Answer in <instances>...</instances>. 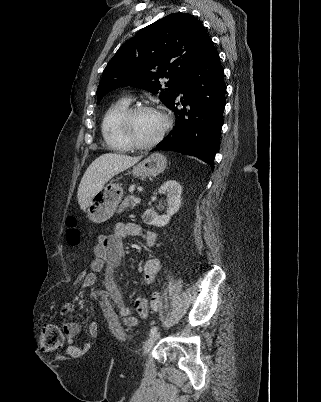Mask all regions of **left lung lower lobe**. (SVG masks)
Wrapping results in <instances>:
<instances>
[{"label":"left lung lower lobe","mask_w":321,"mask_h":402,"mask_svg":"<svg viewBox=\"0 0 321 402\" xmlns=\"http://www.w3.org/2000/svg\"><path fill=\"white\" fill-rule=\"evenodd\" d=\"M219 54L211 38L200 56L179 83L168 108L174 111V129L154 148L196 156L214 169V158L220 146L226 84ZM183 94L178 109L176 101Z\"/></svg>","instance_id":"0a47b994"}]
</instances>
